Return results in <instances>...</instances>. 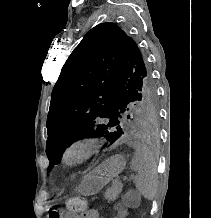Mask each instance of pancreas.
<instances>
[{
  "instance_id": "1",
  "label": "pancreas",
  "mask_w": 211,
  "mask_h": 218,
  "mask_svg": "<svg viewBox=\"0 0 211 218\" xmlns=\"http://www.w3.org/2000/svg\"><path fill=\"white\" fill-rule=\"evenodd\" d=\"M123 188V184L121 182H118V180H114L112 182L111 188H108L105 192V200H108V202H113V200H117L119 194H121Z\"/></svg>"
}]
</instances>
